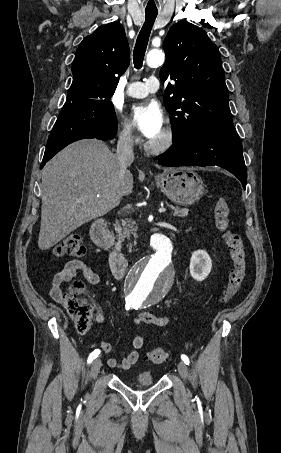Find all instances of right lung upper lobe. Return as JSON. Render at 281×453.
<instances>
[{
  "label": "right lung upper lobe",
  "mask_w": 281,
  "mask_h": 453,
  "mask_svg": "<svg viewBox=\"0 0 281 453\" xmlns=\"http://www.w3.org/2000/svg\"><path fill=\"white\" fill-rule=\"evenodd\" d=\"M124 28L112 22L100 26L80 43L72 64L73 82L66 103L107 102L129 65Z\"/></svg>",
  "instance_id": "1"
}]
</instances>
